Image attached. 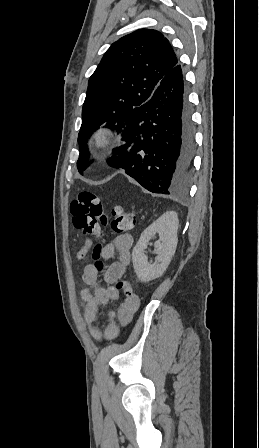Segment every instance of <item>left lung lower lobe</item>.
Returning a JSON list of instances; mask_svg holds the SVG:
<instances>
[{
	"label": "left lung lower lobe",
	"instance_id": "0a47b994",
	"mask_svg": "<svg viewBox=\"0 0 259 448\" xmlns=\"http://www.w3.org/2000/svg\"><path fill=\"white\" fill-rule=\"evenodd\" d=\"M108 164L144 188L164 195L184 189L194 153V128L181 65L159 82L150 99L133 109Z\"/></svg>",
	"mask_w": 259,
	"mask_h": 448
}]
</instances>
